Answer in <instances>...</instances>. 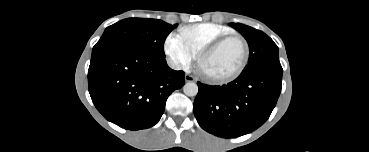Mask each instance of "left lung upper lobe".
<instances>
[{
    "mask_svg": "<svg viewBox=\"0 0 369 152\" xmlns=\"http://www.w3.org/2000/svg\"><path fill=\"white\" fill-rule=\"evenodd\" d=\"M231 27L237 29L247 40L250 54L248 65L242 71V75H249L263 69L282 70L278 47L273 40L262 31L244 24L231 23Z\"/></svg>",
    "mask_w": 369,
    "mask_h": 152,
    "instance_id": "5c2ea615",
    "label": "left lung upper lobe"
}]
</instances>
